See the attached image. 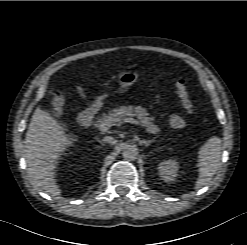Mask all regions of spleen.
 <instances>
[{"label": "spleen", "mask_w": 247, "mask_h": 245, "mask_svg": "<svg viewBox=\"0 0 247 245\" xmlns=\"http://www.w3.org/2000/svg\"><path fill=\"white\" fill-rule=\"evenodd\" d=\"M221 159V140L218 137L210 138L199 150L197 167L199 176L196 189L205 186L215 175Z\"/></svg>", "instance_id": "obj_1"}]
</instances>
